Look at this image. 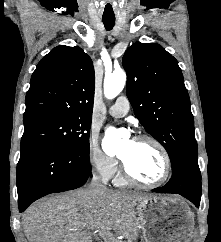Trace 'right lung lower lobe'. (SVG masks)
I'll list each match as a JSON object with an SVG mask.
<instances>
[{"label": "right lung lower lobe", "mask_w": 221, "mask_h": 242, "mask_svg": "<svg viewBox=\"0 0 221 242\" xmlns=\"http://www.w3.org/2000/svg\"><path fill=\"white\" fill-rule=\"evenodd\" d=\"M91 176L89 155L45 142L21 143L17 164L19 211L48 195L76 189Z\"/></svg>", "instance_id": "1"}]
</instances>
